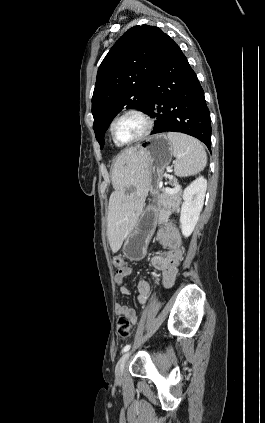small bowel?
<instances>
[{"mask_svg":"<svg viewBox=\"0 0 265 423\" xmlns=\"http://www.w3.org/2000/svg\"><path fill=\"white\" fill-rule=\"evenodd\" d=\"M156 240L167 249L163 254L154 255L151 258V265L155 270L162 273V285L170 288L177 276L178 266L183 260L184 250L182 239L177 228L172 223H167L159 228L155 235ZM131 274V268L124 265L121 270H116L115 280L120 284V292L129 295L130 290L124 280ZM151 285L147 280H140L137 284V300L140 304L146 305L150 301ZM115 313L118 316H126L132 325L139 322L136 311L126 305L117 304Z\"/></svg>","mask_w":265,"mask_h":423,"instance_id":"c3829d8e","label":"small bowel"}]
</instances>
